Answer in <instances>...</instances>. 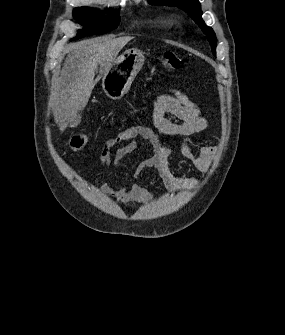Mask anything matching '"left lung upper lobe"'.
Returning <instances> with one entry per match:
<instances>
[{
    "mask_svg": "<svg viewBox=\"0 0 285 335\" xmlns=\"http://www.w3.org/2000/svg\"><path fill=\"white\" fill-rule=\"evenodd\" d=\"M151 4L178 6L185 10L189 16L198 24L201 30L207 35L212 52L216 55V36L212 28L205 25L202 20V11L198 0H148Z\"/></svg>",
    "mask_w": 285,
    "mask_h": 335,
    "instance_id": "left-lung-upper-lobe-1",
    "label": "left lung upper lobe"
}]
</instances>
